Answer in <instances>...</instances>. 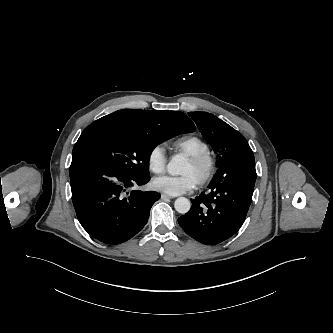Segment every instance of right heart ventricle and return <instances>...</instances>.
Here are the masks:
<instances>
[{"label":"right heart ventricle","mask_w":333,"mask_h":333,"mask_svg":"<svg viewBox=\"0 0 333 333\" xmlns=\"http://www.w3.org/2000/svg\"><path fill=\"white\" fill-rule=\"evenodd\" d=\"M171 147L175 151L183 153L186 156H192L209 152L207 143L194 135H183L171 142Z\"/></svg>","instance_id":"1"}]
</instances>
